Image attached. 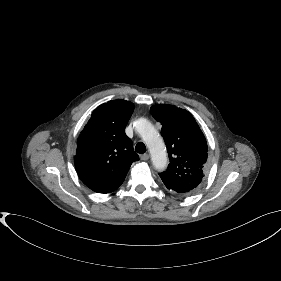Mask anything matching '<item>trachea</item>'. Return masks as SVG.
Returning <instances> with one entry per match:
<instances>
[{"mask_svg":"<svg viewBox=\"0 0 281 281\" xmlns=\"http://www.w3.org/2000/svg\"><path fill=\"white\" fill-rule=\"evenodd\" d=\"M135 151L137 152V153H145L146 152V146H145V144L143 143V142H138L137 144H136V147H135Z\"/></svg>","mask_w":281,"mask_h":281,"instance_id":"obj_1","label":"trachea"}]
</instances>
